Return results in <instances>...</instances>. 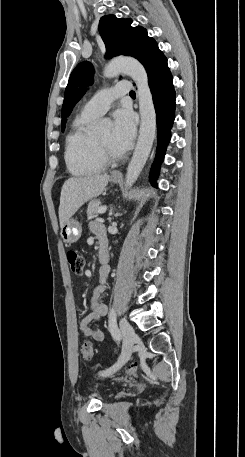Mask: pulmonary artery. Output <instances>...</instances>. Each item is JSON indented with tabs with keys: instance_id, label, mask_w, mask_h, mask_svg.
<instances>
[{
	"instance_id": "obj_1",
	"label": "pulmonary artery",
	"mask_w": 245,
	"mask_h": 457,
	"mask_svg": "<svg viewBox=\"0 0 245 457\" xmlns=\"http://www.w3.org/2000/svg\"><path fill=\"white\" fill-rule=\"evenodd\" d=\"M134 87L133 80H117L116 86H104L103 93H95L94 99L82 106L81 115L93 119L103 115L115 100H121L122 95H131Z\"/></svg>"
}]
</instances>
